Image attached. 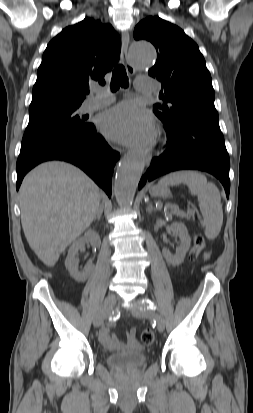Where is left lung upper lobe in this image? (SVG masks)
<instances>
[{"label":"left lung upper lobe","mask_w":253,"mask_h":413,"mask_svg":"<svg viewBox=\"0 0 253 413\" xmlns=\"http://www.w3.org/2000/svg\"><path fill=\"white\" fill-rule=\"evenodd\" d=\"M136 40H148L158 58L148 74L162 82L154 113L165 126L190 117L218 120L211 75L197 44L178 26L158 16L143 19L134 29Z\"/></svg>","instance_id":"5c2ea615"}]
</instances>
